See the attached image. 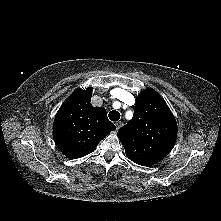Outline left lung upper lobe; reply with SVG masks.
Here are the masks:
<instances>
[{
  "mask_svg": "<svg viewBox=\"0 0 221 221\" xmlns=\"http://www.w3.org/2000/svg\"><path fill=\"white\" fill-rule=\"evenodd\" d=\"M177 129L164 99L155 90L147 89L138 95L133 118L118 131V137L133 162L150 166L171 151Z\"/></svg>",
  "mask_w": 221,
  "mask_h": 221,
  "instance_id": "1",
  "label": "left lung upper lobe"
}]
</instances>
